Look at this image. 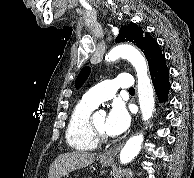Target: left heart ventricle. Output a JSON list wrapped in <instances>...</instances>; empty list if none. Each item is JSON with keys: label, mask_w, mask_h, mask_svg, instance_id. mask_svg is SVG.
Masks as SVG:
<instances>
[{"label": "left heart ventricle", "mask_w": 194, "mask_h": 178, "mask_svg": "<svg viewBox=\"0 0 194 178\" xmlns=\"http://www.w3.org/2000/svg\"><path fill=\"white\" fill-rule=\"evenodd\" d=\"M105 120H106L105 115H98V116L93 118V122H94L95 126L99 130H101L102 132H105L104 131Z\"/></svg>", "instance_id": "obj_1"}]
</instances>
